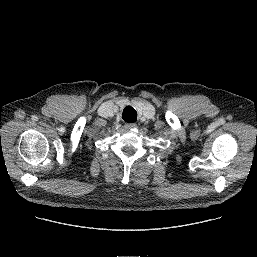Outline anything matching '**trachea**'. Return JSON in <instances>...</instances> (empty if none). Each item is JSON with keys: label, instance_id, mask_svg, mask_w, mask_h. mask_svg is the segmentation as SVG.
<instances>
[{"label": "trachea", "instance_id": "trachea-1", "mask_svg": "<svg viewBox=\"0 0 257 257\" xmlns=\"http://www.w3.org/2000/svg\"><path fill=\"white\" fill-rule=\"evenodd\" d=\"M122 118L125 122L133 123L137 120V112L132 106H127L123 110Z\"/></svg>", "mask_w": 257, "mask_h": 257}]
</instances>
